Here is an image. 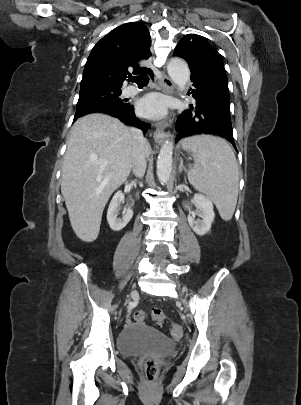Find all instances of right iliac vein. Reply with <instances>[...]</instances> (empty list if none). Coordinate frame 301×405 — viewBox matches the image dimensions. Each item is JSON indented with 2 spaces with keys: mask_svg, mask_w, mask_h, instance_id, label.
I'll list each match as a JSON object with an SVG mask.
<instances>
[{
  "mask_svg": "<svg viewBox=\"0 0 301 405\" xmlns=\"http://www.w3.org/2000/svg\"><path fill=\"white\" fill-rule=\"evenodd\" d=\"M136 294V291H132L131 297H133Z\"/></svg>",
  "mask_w": 301,
  "mask_h": 405,
  "instance_id": "right-iliac-vein-1",
  "label": "right iliac vein"
}]
</instances>
